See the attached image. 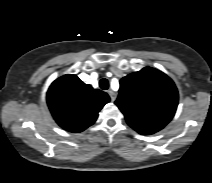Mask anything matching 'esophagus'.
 Returning <instances> with one entry per match:
<instances>
[{
	"label": "esophagus",
	"instance_id": "34e87169",
	"mask_svg": "<svg viewBox=\"0 0 212 183\" xmlns=\"http://www.w3.org/2000/svg\"><path fill=\"white\" fill-rule=\"evenodd\" d=\"M108 94L110 96L111 101L114 102L116 97H117V94L114 91H112V90H109Z\"/></svg>",
	"mask_w": 212,
	"mask_h": 183
}]
</instances>
